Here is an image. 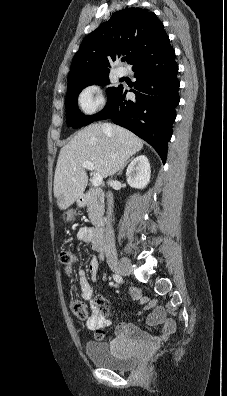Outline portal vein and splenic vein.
Here are the masks:
<instances>
[{"instance_id": "18ae733b", "label": "portal vein and splenic vein", "mask_w": 227, "mask_h": 396, "mask_svg": "<svg viewBox=\"0 0 227 396\" xmlns=\"http://www.w3.org/2000/svg\"><path fill=\"white\" fill-rule=\"evenodd\" d=\"M81 166L87 170H94V165L90 161H85L81 164ZM103 177L99 173H95L92 178V185L97 187L102 184Z\"/></svg>"}]
</instances>
